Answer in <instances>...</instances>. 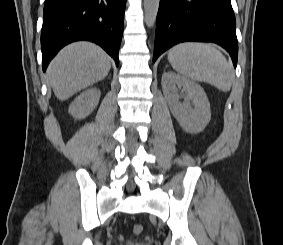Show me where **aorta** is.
I'll list each match as a JSON object with an SVG mask.
<instances>
[{"mask_svg": "<svg viewBox=\"0 0 283 245\" xmlns=\"http://www.w3.org/2000/svg\"><path fill=\"white\" fill-rule=\"evenodd\" d=\"M160 0H144L145 22L153 27L156 21Z\"/></svg>", "mask_w": 283, "mask_h": 245, "instance_id": "aorta-1", "label": "aorta"}]
</instances>
